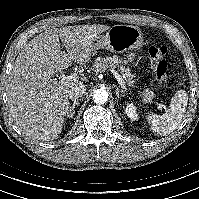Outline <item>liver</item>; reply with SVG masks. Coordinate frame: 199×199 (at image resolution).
Instances as JSON below:
<instances>
[{
	"label": "liver",
	"instance_id": "1",
	"mask_svg": "<svg viewBox=\"0 0 199 199\" xmlns=\"http://www.w3.org/2000/svg\"><path fill=\"white\" fill-rule=\"evenodd\" d=\"M110 26L83 25L46 29L22 47L6 85L10 115L28 137L48 141L62 132L72 87L88 79H52L72 62L85 65L95 54L94 40ZM67 53L61 51V43ZM81 79V81H79Z\"/></svg>",
	"mask_w": 199,
	"mask_h": 199
}]
</instances>
